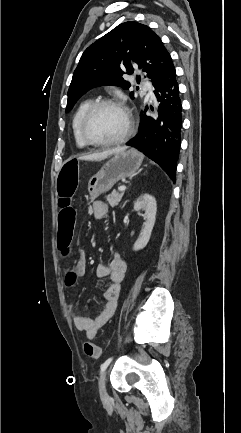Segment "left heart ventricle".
<instances>
[{"mask_svg": "<svg viewBox=\"0 0 241 433\" xmlns=\"http://www.w3.org/2000/svg\"><path fill=\"white\" fill-rule=\"evenodd\" d=\"M125 113L116 106L98 109L88 124L89 135L98 141H111L120 137L126 129Z\"/></svg>", "mask_w": 241, "mask_h": 433, "instance_id": "1", "label": "left heart ventricle"}]
</instances>
